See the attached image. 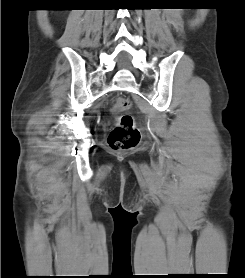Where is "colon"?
Here are the masks:
<instances>
[{
  "label": "colon",
  "instance_id": "1",
  "mask_svg": "<svg viewBox=\"0 0 245 278\" xmlns=\"http://www.w3.org/2000/svg\"><path fill=\"white\" fill-rule=\"evenodd\" d=\"M131 100L126 95H118L115 99L112 111L116 114L128 110ZM140 131L133 117L129 114H119L116 124L109 134V144L116 150H127L136 146L140 140Z\"/></svg>",
  "mask_w": 245,
  "mask_h": 278
}]
</instances>
